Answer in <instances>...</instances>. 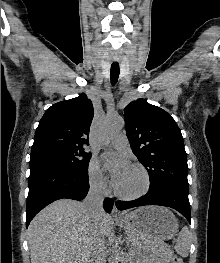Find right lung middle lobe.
<instances>
[{"label": "right lung middle lobe", "instance_id": "1", "mask_svg": "<svg viewBox=\"0 0 220 263\" xmlns=\"http://www.w3.org/2000/svg\"><path fill=\"white\" fill-rule=\"evenodd\" d=\"M30 157V162L45 161L75 171H86L91 154L82 147L52 148L31 153Z\"/></svg>", "mask_w": 220, "mask_h": 263}]
</instances>
